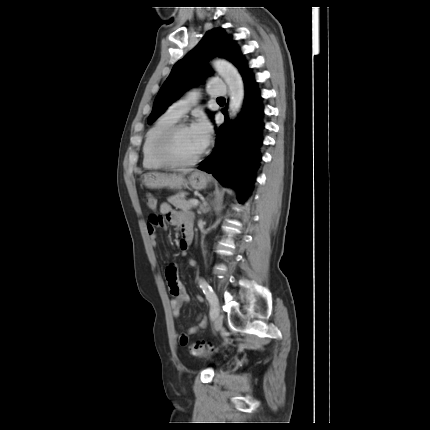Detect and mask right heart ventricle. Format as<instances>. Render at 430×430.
<instances>
[{
  "mask_svg": "<svg viewBox=\"0 0 430 430\" xmlns=\"http://www.w3.org/2000/svg\"><path fill=\"white\" fill-rule=\"evenodd\" d=\"M179 117L172 114L170 111H166L153 125L147 130L143 145H142V164L146 169H161L167 165L161 162L154 154V145L157 138L163 133L168 127L178 121Z\"/></svg>",
  "mask_w": 430,
  "mask_h": 430,
  "instance_id": "right-heart-ventricle-1",
  "label": "right heart ventricle"
}]
</instances>
